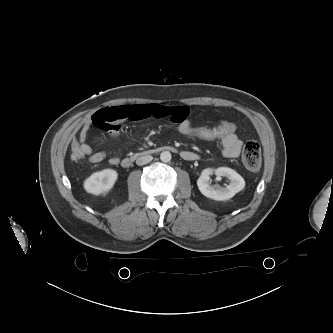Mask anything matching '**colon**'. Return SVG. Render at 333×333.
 <instances>
[{
    "instance_id": "colon-1",
    "label": "colon",
    "mask_w": 333,
    "mask_h": 333,
    "mask_svg": "<svg viewBox=\"0 0 333 333\" xmlns=\"http://www.w3.org/2000/svg\"><path fill=\"white\" fill-rule=\"evenodd\" d=\"M236 130L235 125L229 122H221L211 127H190L179 128L178 132L183 136L200 139L205 141L221 140L228 134ZM70 156L74 161L84 157L81 145L77 141H73L70 146ZM242 162L251 171H256L261 166V147L255 140H249L245 143L242 152Z\"/></svg>"
}]
</instances>
